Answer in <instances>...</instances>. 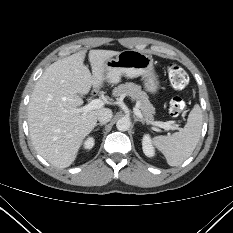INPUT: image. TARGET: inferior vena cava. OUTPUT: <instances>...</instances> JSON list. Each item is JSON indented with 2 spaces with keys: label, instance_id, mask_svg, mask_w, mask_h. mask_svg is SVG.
Returning a JSON list of instances; mask_svg holds the SVG:
<instances>
[{
  "label": "inferior vena cava",
  "instance_id": "602c4592",
  "mask_svg": "<svg viewBox=\"0 0 233 233\" xmlns=\"http://www.w3.org/2000/svg\"><path fill=\"white\" fill-rule=\"evenodd\" d=\"M112 116V111L110 109L103 108L99 111L97 119L101 123H107L111 120Z\"/></svg>",
  "mask_w": 233,
  "mask_h": 233
}]
</instances>
